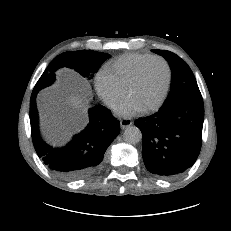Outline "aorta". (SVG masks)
<instances>
[{
  "label": "aorta",
  "mask_w": 231,
  "mask_h": 231,
  "mask_svg": "<svg viewBox=\"0 0 231 231\" xmlns=\"http://www.w3.org/2000/svg\"><path fill=\"white\" fill-rule=\"evenodd\" d=\"M123 139L129 144H137L142 139V133L138 127L128 126L123 133Z\"/></svg>",
  "instance_id": "obj_1"
}]
</instances>
